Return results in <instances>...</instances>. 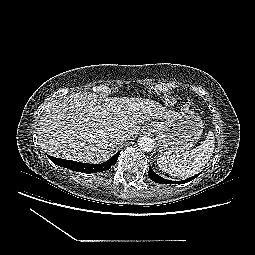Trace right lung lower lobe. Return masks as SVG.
Wrapping results in <instances>:
<instances>
[{
	"instance_id": "98d812e1",
	"label": "right lung lower lobe",
	"mask_w": 255,
	"mask_h": 255,
	"mask_svg": "<svg viewBox=\"0 0 255 255\" xmlns=\"http://www.w3.org/2000/svg\"><path fill=\"white\" fill-rule=\"evenodd\" d=\"M119 154H120V151L116 153L108 161L102 164H88V163H81V162H76L71 160L59 159L52 156H48V157L53 163L61 167L68 168L76 172L96 173V172H102V171H106L110 169L111 166H113L117 162V158Z\"/></svg>"
}]
</instances>
